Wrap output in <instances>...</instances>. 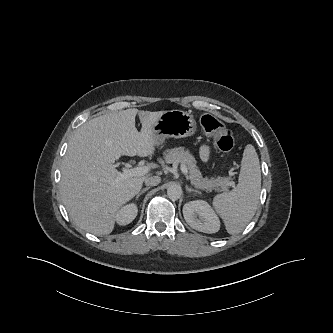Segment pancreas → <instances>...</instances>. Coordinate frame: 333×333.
<instances>
[{
    "label": "pancreas",
    "instance_id": "cf45deb5",
    "mask_svg": "<svg viewBox=\"0 0 333 333\" xmlns=\"http://www.w3.org/2000/svg\"><path fill=\"white\" fill-rule=\"evenodd\" d=\"M166 163L180 162L186 166L189 172V180L191 184L200 190L205 191H227L228 187L232 185L230 177H211L203 178L202 174L196 165V160L188 150L183 147L173 148L166 151L164 154Z\"/></svg>",
    "mask_w": 333,
    "mask_h": 333
}]
</instances>
